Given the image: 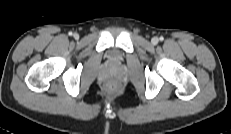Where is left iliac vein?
<instances>
[{
    "mask_svg": "<svg viewBox=\"0 0 231 134\" xmlns=\"http://www.w3.org/2000/svg\"><path fill=\"white\" fill-rule=\"evenodd\" d=\"M157 42H158V38L157 37L152 38V43L153 44H156Z\"/></svg>",
    "mask_w": 231,
    "mask_h": 134,
    "instance_id": "obj_1",
    "label": "left iliac vein"
}]
</instances>
